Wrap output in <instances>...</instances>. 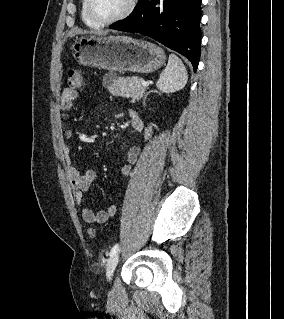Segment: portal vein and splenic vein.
Here are the masks:
<instances>
[{
  "mask_svg": "<svg viewBox=\"0 0 284 319\" xmlns=\"http://www.w3.org/2000/svg\"><path fill=\"white\" fill-rule=\"evenodd\" d=\"M142 85H143L144 87H148V86H149V82L143 81V82H142Z\"/></svg>",
  "mask_w": 284,
  "mask_h": 319,
  "instance_id": "18ae733b",
  "label": "portal vein and splenic vein"
}]
</instances>
